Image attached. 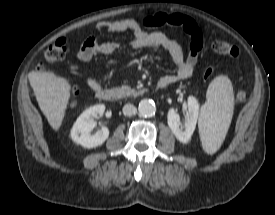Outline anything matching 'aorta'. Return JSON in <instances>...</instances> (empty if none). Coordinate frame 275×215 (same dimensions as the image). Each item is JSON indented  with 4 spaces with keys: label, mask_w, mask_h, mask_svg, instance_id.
I'll return each instance as SVG.
<instances>
[{
    "label": "aorta",
    "mask_w": 275,
    "mask_h": 215,
    "mask_svg": "<svg viewBox=\"0 0 275 215\" xmlns=\"http://www.w3.org/2000/svg\"><path fill=\"white\" fill-rule=\"evenodd\" d=\"M138 111L143 117H152L153 115H155L156 106L153 101L142 100L139 103Z\"/></svg>",
    "instance_id": "aorta-1"
}]
</instances>
